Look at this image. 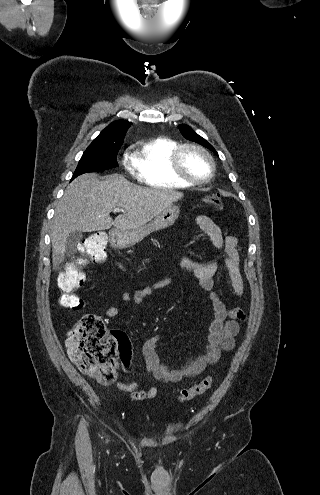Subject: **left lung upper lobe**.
Returning a JSON list of instances; mask_svg holds the SVG:
<instances>
[{"mask_svg": "<svg viewBox=\"0 0 320 495\" xmlns=\"http://www.w3.org/2000/svg\"><path fill=\"white\" fill-rule=\"evenodd\" d=\"M179 129H180L182 135L186 139H188L190 141H193V142H196V143H198V144H200V145H202V146L210 149L211 151L216 152V150L214 149V147L210 143H208L204 138H202L201 136H199L198 134H196L192 130V128H190L188 125L181 124V125H179Z\"/></svg>", "mask_w": 320, "mask_h": 495, "instance_id": "left-lung-upper-lobe-1", "label": "left lung upper lobe"}]
</instances>
